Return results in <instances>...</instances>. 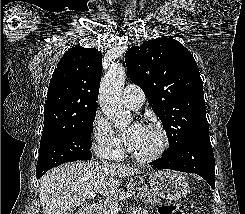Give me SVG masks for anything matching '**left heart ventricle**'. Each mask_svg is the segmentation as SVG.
<instances>
[{
    "instance_id": "obj_1",
    "label": "left heart ventricle",
    "mask_w": 245,
    "mask_h": 214,
    "mask_svg": "<svg viewBox=\"0 0 245 214\" xmlns=\"http://www.w3.org/2000/svg\"><path fill=\"white\" fill-rule=\"evenodd\" d=\"M131 127L126 128V132ZM161 144V137L159 133L155 130L142 126L138 134L136 135L133 142L128 146V148L140 155H148L155 152Z\"/></svg>"
}]
</instances>
